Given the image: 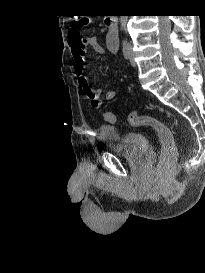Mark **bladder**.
Masks as SVG:
<instances>
[{"label":"bladder","instance_id":"1","mask_svg":"<svg viewBox=\"0 0 205 273\" xmlns=\"http://www.w3.org/2000/svg\"><path fill=\"white\" fill-rule=\"evenodd\" d=\"M101 142L110 151L132 161L143 159L149 149V139L141 132L122 133L114 125H102L99 128Z\"/></svg>","mask_w":205,"mask_h":273}]
</instances>
